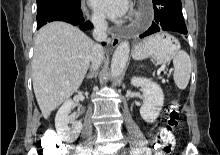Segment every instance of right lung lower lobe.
Wrapping results in <instances>:
<instances>
[{
    "label": "right lung lower lobe",
    "instance_id": "right-lung-lower-lobe-1",
    "mask_svg": "<svg viewBox=\"0 0 220 155\" xmlns=\"http://www.w3.org/2000/svg\"><path fill=\"white\" fill-rule=\"evenodd\" d=\"M36 18L37 29L52 21L68 22L74 26H79L82 30L91 29L92 27V24L89 21L84 22L80 5L76 7L64 5L51 7L38 12ZM104 44L105 43H103V45Z\"/></svg>",
    "mask_w": 220,
    "mask_h": 155
}]
</instances>
